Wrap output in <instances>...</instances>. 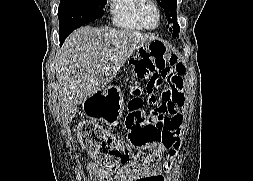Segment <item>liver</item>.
I'll return each mask as SVG.
<instances>
[{"label":"liver","mask_w":253,"mask_h":181,"mask_svg":"<svg viewBox=\"0 0 253 181\" xmlns=\"http://www.w3.org/2000/svg\"><path fill=\"white\" fill-rule=\"evenodd\" d=\"M154 40L128 29L84 26L73 31L55 57L62 120L71 121L79 104L109 84L136 49Z\"/></svg>","instance_id":"liver-1"}]
</instances>
